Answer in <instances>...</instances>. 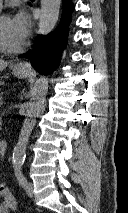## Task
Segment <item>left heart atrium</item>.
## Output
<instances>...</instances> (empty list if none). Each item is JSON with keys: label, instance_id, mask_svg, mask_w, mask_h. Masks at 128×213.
I'll return each instance as SVG.
<instances>
[{"label": "left heart atrium", "instance_id": "obj_1", "mask_svg": "<svg viewBox=\"0 0 128 213\" xmlns=\"http://www.w3.org/2000/svg\"><path fill=\"white\" fill-rule=\"evenodd\" d=\"M11 25L15 37L22 44L30 31V19L24 10L17 11L11 19Z\"/></svg>", "mask_w": 128, "mask_h": 213}]
</instances>
